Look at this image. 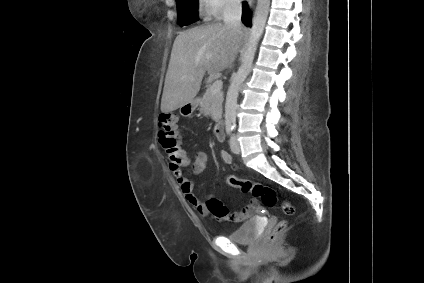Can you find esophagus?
I'll use <instances>...</instances> for the list:
<instances>
[{"instance_id": "1", "label": "esophagus", "mask_w": 424, "mask_h": 283, "mask_svg": "<svg viewBox=\"0 0 424 283\" xmlns=\"http://www.w3.org/2000/svg\"><path fill=\"white\" fill-rule=\"evenodd\" d=\"M254 2H255V0H248V4H249V6H250V7H251V6H253Z\"/></svg>"}]
</instances>
